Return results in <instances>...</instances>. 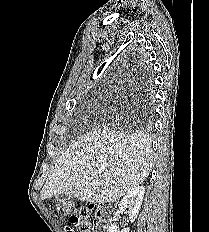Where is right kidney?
Segmentation results:
<instances>
[{
  "instance_id": "obj_1",
  "label": "right kidney",
  "mask_w": 209,
  "mask_h": 232,
  "mask_svg": "<svg viewBox=\"0 0 209 232\" xmlns=\"http://www.w3.org/2000/svg\"><path fill=\"white\" fill-rule=\"evenodd\" d=\"M145 188L143 186H136L128 192L118 204L120 211L126 212L129 215L131 222H134L141 209ZM129 228L120 231L116 224H110L107 232H129Z\"/></svg>"
}]
</instances>
